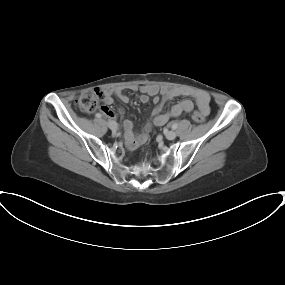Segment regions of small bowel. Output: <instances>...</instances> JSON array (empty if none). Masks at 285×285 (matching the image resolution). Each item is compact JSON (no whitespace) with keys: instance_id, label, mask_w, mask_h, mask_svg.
Here are the masks:
<instances>
[{"instance_id":"obj_1","label":"small bowel","mask_w":285,"mask_h":285,"mask_svg":"<svg viewBox=\"0 0 285 285\" xmlns=\"http://www.w3.org/2000/svg\"><path fill=\"white\" fill-rule=\"evenodd\" d=\"M130 89L133 91H140L141 95L139 99L142 103H147L149 98L153 97L155 106L152 112V122L158 126L166 124L171 118L190 112L194 108V103L204 115H207L210 112V98L207 94L202 92L193 94L194 102L190 99H184L172 106L167 112L161 113L162 103L167 100H172L178 96L180 94L179 91L166 87L159 89V87L156 85H142L139 87L131 86ZM102 92L105 106L101 108V112L108 119H114L116 114L108 107L115 102L114 96L123 103H127L129 101V97L124 93V90L121 87H108L103 89ZM159 93L161 96H159ZM118 112L120 115H123L124 108L119 107ZM122 126L126 144L130 148H136L142 145L147 140L148 133L151 130L150 121L144 126L143 131L138 134L133 132L134 124L131 120H124Z\"/></svg>"}]
</instances>
